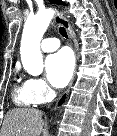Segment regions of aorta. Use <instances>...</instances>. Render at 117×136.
<instances>
[{"mask_svg":"<svg viewBox=\"0 0 117 136\" xmlns=\"http://www.w3.org/2000/svg\"><path fill=\"white\" fill-rule=\"evenodd\" d=\"M53 18L51 9H43L29 17L24 25L20 55L25 70L34 76L43 71V58L40 43Z\"/></svg>","mask_w":117,"mask_h":136,"instance_id":"762f6f07","label":"aorta"}]
</instances>
